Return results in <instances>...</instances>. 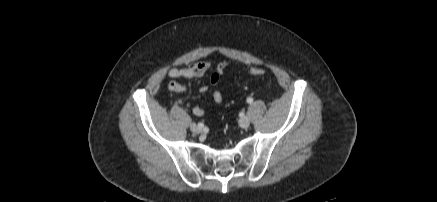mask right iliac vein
<instances>
[{
  "instance_id": "right-iliac-vein-1",
  "label": "right iliac vein",
  "mask_w": 437,
  "mask_h": 202,
  "mask_svg": "<svg viewBox=\"0 0 437 202\" xmlns=\"http://www.w3.org/2000/svg\"><path fill=\"white\" fill-rule=\"evenodd\" d=\"M190 129H191V131H192L193 133H195V134L202 133V131H203L202 127H199V126L196 125L195 123H192V124L190 125Z\"/></svg>"
}]
</instances>
